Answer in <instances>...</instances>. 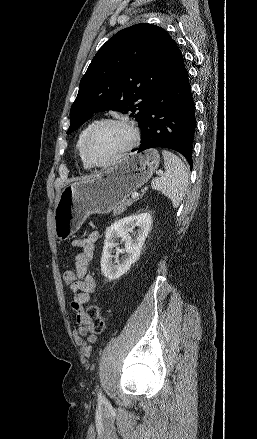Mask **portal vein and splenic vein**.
Here are the masks:
<instances>
[{"label":"portal vein and splenic vein","mask_w":257,"mask_h":439,"mask_svg":"<svg viewBox=\"0 0 257 439\" xmlns=\"http://www.w3.org/2000/svg\"><path fill=\"white\" fill-rule=\"evenodd\" d=\"M160 174H162V173H160ZM138 196H139V193H138V192H134V193H132V195H131V197H132L133 199L137 198Z\"/></svg>","instance_id":"obj_1"}]
</instances>
